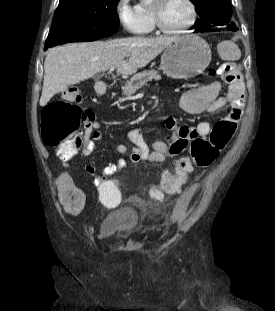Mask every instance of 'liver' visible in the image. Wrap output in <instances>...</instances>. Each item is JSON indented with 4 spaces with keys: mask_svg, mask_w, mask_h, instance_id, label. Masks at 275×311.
Instances as JSON below:
<instances>
[{
    "mask_svg": "<svg viewBox=\"0 0 275 311\" xmlns=\"http://www.w3.org/2000/svg\"><path fill=\"white\" fill-rule=\"evenodd\" d=\"M176 38L128 37L55 47L48 52L44 62L40 105L45 106L55 94L68 86L102 71L116 68L117 74L132 75L149 64Z\"/></svg>",
    "mask_w": 275,
    "mask_h": 311,
    "instance_id": "6515ba94",
    "label": "liver"
}]
</instances>
